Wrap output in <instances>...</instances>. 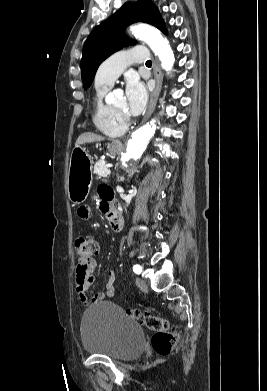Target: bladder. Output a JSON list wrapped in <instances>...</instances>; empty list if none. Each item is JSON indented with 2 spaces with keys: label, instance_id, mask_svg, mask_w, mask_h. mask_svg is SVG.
Segmentation results:
<instances>
[{
  "label": "bladder",
  "instance_id": "obj_1",
  "mask_svg": "<svg viewBox=\"0 0 267 391\" xmlns=\"http://www.w3.org/2000/svg\"><path fill=\"white\" fill-rule=\"evenodd\" d=\"M81 341L85 352L115 360L138 357L145 344L140 325L111 302L90 307L81 322Z\"/></svg>",
  "mask_w": 267,
  "mask_h": 391
}]
</instances>
